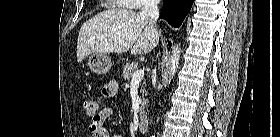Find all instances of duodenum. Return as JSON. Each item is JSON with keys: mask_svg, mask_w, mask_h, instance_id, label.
<instances>
[{"mask_svg": "<svg viewBox=\"0 0 280 137\" xmlns=\"http://www.w3.org/2000/svg\"><path fill=\"white\" fill-rule=\"evenodd\" d=\"M150 126V121L148 118H142L139 121V130L143 133L148 132Z\"/></svg>", "mask_w": 280, "mask_h": 137, "instance_id": "410a0bca", "label": "duodenum"}]
</instances>
